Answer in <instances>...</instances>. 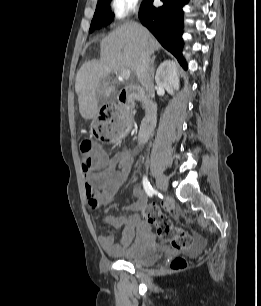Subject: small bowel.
I'll use <instances>...</instances> for the list:
<instances>
[{
    "instance_id": "c3829d8e",
    "label": "small bowel",
    "mask_w": 261,
    "mask_h": 306,
    "mask_svg": "<svg viewBox=\"0 0 261 306\" xmlns=\"http://www.w3.org/2000/svg\"><path fill=\"white\" fill-rule=\"evenodd\" d=\"M95 149L99 165L96 169L84 174L85 195L88 205L92 209L114 202L118 191L128 179L135 160V152L132 149H122L111 157H106L104 153L97 151V147ZM133 194L135 201L124 207L133 211L132 215L128 217L111 215L103 217L99 221L102 225L122 230L119 243L115 241L114 235L110 232L102 233L98 237L100 247L110 256L123 257L128 255L144 239V234L136 239V230L140 229L143 233L147 230V225L142 223L138 212L147 205L148 198L138 186L134 187Z\"/></svg>"
}]
</instances>
